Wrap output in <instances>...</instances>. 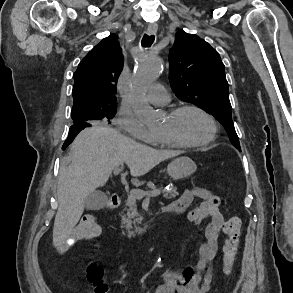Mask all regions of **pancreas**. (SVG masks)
<instances>
[{
    "instance_id": "obj_1",
    "label": "pancreas",
    "mask_w": 293,
    "mask_h": 293,
    "mask_svg": "<svg viewBox=\"0 0 293 293\" xmlns=\"http://www.w3.org/2000/svg\"><path fill=\"white\" fill-rule=\"evenodd\" d=\"M140 191H143V190H140ZM176 196H178L176 187H172L163 193V197L166 199H172V198H175ZM136 200L137 198L134 196L133 192L131 191L125 202L126 213L122 216L121 223H122V226L125 227L128 236L134 235L135 232H138V233L141 232V229L136 227V224H140L142 221V217L137 212ZM133 226L135 227V231H133Z\"/></svg>"
}]
</instances>
